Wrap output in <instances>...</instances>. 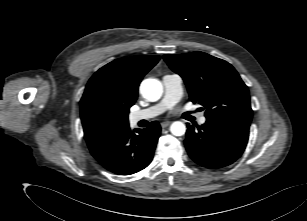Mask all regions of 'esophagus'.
I'll return each instance as SVG.
<instances>
[{
  "mask_svg": "<svg viewBox=\"0 0 307 221\" xmlns=\"http://www.w3.org/2000/svg\"><path fill=\"white\" fill-rule=\"evenodd\" d=\"M170 123H171L170 121H164L161 123V127L166 128L168 125H170Z\"/></svg>",
  "mask_w": 307,
  "mask_h": 221,
  "instance_id": "esophagus-1",
  "label": "esophagus"
}]
</instances>
